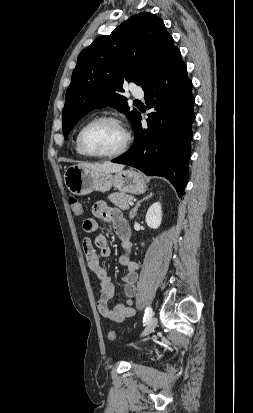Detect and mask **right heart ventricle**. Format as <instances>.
Returning a JSON list of instances; mask_svg holds the SVG:
<instances>
[{
	"label": "right heart ventricle",
	"mask_w": 253,
	"mask_h": 413,
	"mask_svg": "<svg viewBox=\"0 0 253 413\" xmlns=\"http://www.w3.org/2000/svg\"><path fill=\"white\" fill-rule=\"evenodd\" d=\"M78 132H79V130L77 131V133H76V135H75V138H74V149H75V152H76L77 155H79V156H85V155L79 150V147H78V144H77Z\"/></svg>",
	"instance_id": "obj_1"
}]
</instances>
